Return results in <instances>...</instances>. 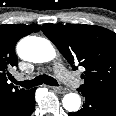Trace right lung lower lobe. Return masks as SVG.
<instances>
[{
	"label": "right lung lower lobe",
	"instance_id": "98d812e1",
	"mask_svg": "<svg viewBox=\"0 0 116 116\" xmlns=\"http://www.w3.org/2000/svg\"><path fill=\"white\" fill-rule=\"evenodd\" d=\"M35 89L8 116H30L35 109Z\"/></svg>",
	"mask_w": 116,
	"mask_h": 116
}]
</instances>
